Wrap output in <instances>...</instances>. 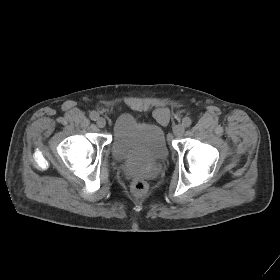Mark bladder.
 Segmentation results:
<instances>
[{"label":"bladder","instance_id":"obj_1","mask_svg":"<svg viewBox=\"0 0 280 280\" xmlns=\"http://www.w3.org/2000/svg\"><path fill=\"white\" fill-rule=\"evenodd\" d=\"M111 152L119 161L162 162L169 155L163 128L140 122L129 113L121 114L114 121Z\"/></svg>","mask_w":280,"mask_h":280}]
</instances>
